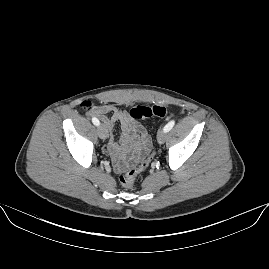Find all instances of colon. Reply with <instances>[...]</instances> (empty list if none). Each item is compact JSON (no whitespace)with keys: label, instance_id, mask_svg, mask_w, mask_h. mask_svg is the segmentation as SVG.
I'll return each instance as SVG.
<instances>
[{"label":"colon","instance_id":"5ec220e1","mask_svg":"<svg viewBox=\"0 0 269 269\" xmlns=\"http://www.w3.org/2000/svg\"><path fill=\"white\" fill-rule=\"evenodd\" d=\"M84 107H90V102H84ZM181 112L180 107L177 106H164V105H154V106H144L137 105L130 110V116L135 120H142L149 117H159L167 118L168 116L175 117ZM151 159L150 152L144 153L140 159L139 165L136 167H131L124 170L123 174L120 176V183L125 188H131L137 176L148 167Z\"/></svg>","mask_w":269,"mask_h":269}]
</instances>
